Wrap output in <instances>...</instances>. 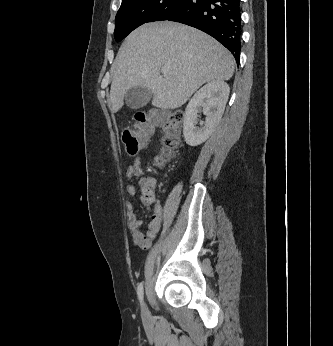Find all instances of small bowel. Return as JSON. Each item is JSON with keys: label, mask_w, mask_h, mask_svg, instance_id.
I'll return each instance as SVG.
<instances>
[{"label": "small bowel", "mask_w": 333, "mask_h": 346, "mask_svg": "<svg viewBox=\"0 0 333 346\" xmlns=\"http://www.w3.org/2000/svg\"><path fill=\"white\" fill-rule=\"evenodd\" d=\"M126 176L130 181L127 185L128 195L130 197H135L137 195V189L133 183V181L136 180L142 189L141 202L151 211V220L148 230L143 232L142 220L137 216L133 203H126L128 228L132 236L129 243L130 246H135L137 249L140 247H149L161 229L162 206L155 197L154 183L142 176V161L140 158H136L134 162L128 166ZM151 182L153 184H151Z\"/></svg>", "instance_id": "small-bowel-1"}]
</instances>
